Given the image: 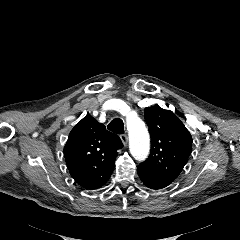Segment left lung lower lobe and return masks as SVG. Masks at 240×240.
Returning a JSON list of instances; mask_svg holds the SVG:
<instances>
[{
    "instance_id": "obj_1",
    "label": "left lung lower lobe",
    "mask_w": 240,
    "mask_h": 240,
    "mask_svg": "<svg viewBox=\"0 0 240 240\" xmlns=\"http://www.w3.org/2000/svg\"><path fill=\"white\" fill-rule=\"evenodd\" d=\"M137 170L141 181L150 189L160 190L168 187L173 182L143 163L138 166Z\"/></svg>"
}]
</instances>
